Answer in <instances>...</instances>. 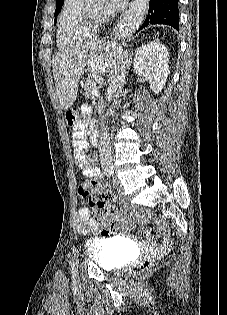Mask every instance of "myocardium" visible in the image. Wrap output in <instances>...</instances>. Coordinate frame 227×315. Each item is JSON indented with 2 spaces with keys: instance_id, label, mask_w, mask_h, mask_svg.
I'll list each match as a JSON object with an SVG mask.
<instances>
[{
  "instance_id": "obj_1",
  "label": "myocardium",
  "mask_w": 227,
  "mask_h": 315,
  "mask_svg": "<svg viewBox=\"0 0 227 315\" xmlns=\"http://www.w3.org/2000/svg\"><path fill=\"white\" fill-rule=\"evenodd\" d=\"M103 23V17L101 14L92 13L86 3L83 4L78 25L82 29L97 30Z\"/></svg>"
}]
</instances>
